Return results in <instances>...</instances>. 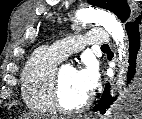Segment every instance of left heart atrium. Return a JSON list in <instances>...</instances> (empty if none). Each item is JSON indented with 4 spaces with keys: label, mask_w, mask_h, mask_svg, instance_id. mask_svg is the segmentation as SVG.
Segmentation results:
<instances>
[{
    "label": "left heart atrium",
    "mask_w": 142,
    "mask_h": 119,
    "mask_svg": "<svg viewBox=\"0 0 142 119\" xmlns=\"http://www.w3.org/2000/svg\"><path fill=\"white\" fill-rule=\"evenodd\" d=\"M76 81L79 87L87 94H90L96 87L98 74L95 66L86 64L84 67L76 70Z\"/></svg>",
    "instance_id": "39dd6f15"
}]
</instances>
